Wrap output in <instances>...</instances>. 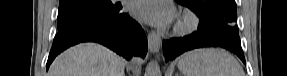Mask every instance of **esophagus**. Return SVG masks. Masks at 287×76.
<instances>
[{
	"label": "esophagus",
	"instance_id": "34e87169",
	"mask_svg": "<svg viewBox=\"0 0 287 76\" xmlns=\"http://www.w3.org/2000/svg\"><path fill=\"white\" fill-rule=\"evenodd\" d=\"M148 46L151 53L153 54L159 53L161 47V38L154 31L148 34Z\"/></svg>",
	"mask_w": 287,
	"mask_h": 76
}]
</instances>
